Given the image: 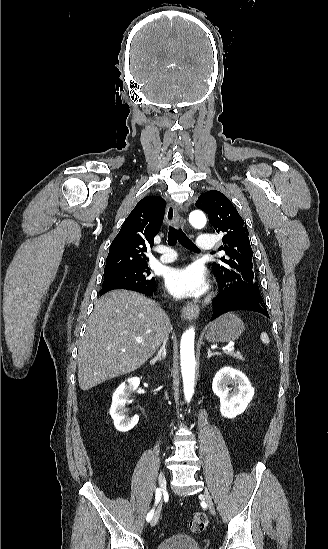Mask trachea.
Segmentation results:
<instances>
[{"label":"trachea","mask_w":328,"mask_h":549,"mask_svg":"<svg viewBox=\"0 0 328 549\" xmlns=\"http://www.w3.org/2000/svg\"><path fill=\"white\" fill-rule=\"evenodd\" d=\"M177 242H179L182 247H185V249L198 250L197 246L181 229H176L171 225L168 230V245L173 246Z\"/></svg>","instance_id":"1"}]
</instances>
